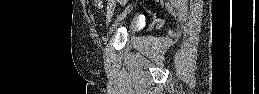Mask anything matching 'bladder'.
<instances>
[{
    "label": "bladder",
    "mask_w": 259,
    "mask_h": 94,
    "mask_svg": "<svg viewBox=\"0 0 259 94\" xmlns=\"http://www.w3.org/2000/svg\"><path fill=\"white\" fill-rule=\"evenodd\" d=\"M126 30L129 34H133L139 29V22L136 18L130 17L125 22Z\"/></svg>",
    "instance_id": "obj_1"
}]
</instances>
